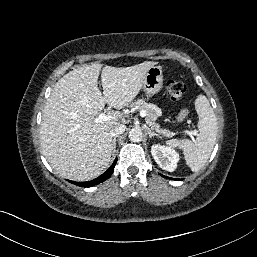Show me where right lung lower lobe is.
Here are the masks:
<instances>
[{
  "label": "right lung lower lobe",
  "instance_id": "obj_1",
  "mask_svg": "<svg viewBox=\"0 0 257 257\" xmlns=\"http://www.w3.org/2000/svg\"><path fill=\"white\" fill-rule=\"evenodd\" d=\"M116 161H117V159H115L113 164L110 166V168L105 173H103L102 175H100L98 178H96L94 180H91L88 182H74V181H70V182H72L75 185L81 186V187H90V186L97 185V184L105 181L112 175V173L114 171V167L116 165Z\"/></svg>",
  "mask_w": 257,
  "mask_h": 257
}]
</instances>
